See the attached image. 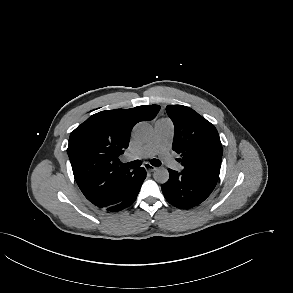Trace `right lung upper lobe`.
Wrapping results in <instances>:
<instances>
[{
  "instance_id": "1",
  "label": "right lung upper lobe",
  "mask_w": 293,
  "mask_h": 293,
  "mask_svg": "<svg viewBox=\"0 0 293 293\" xmlns=\"http://www.w3.org/2000/svg\"><path fill=\"white\" fill-rule=\"evenodd\" d=\"M159 105L101 111L69 137L67 153L74 178L85 197L99 208L121 202L136 179V170L119 167L130 132L139 121L152 120Z\"/></svg>"
}]
</instances>
